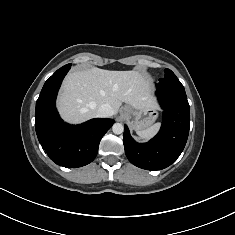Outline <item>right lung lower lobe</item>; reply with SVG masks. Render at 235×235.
I'll return each instance as SVG.
<instances>
[{
  "mask_svg": "<svg viewBox=\"0 0 235 235\" xmlns=\"http://www.w3.org/2000/svg\"><path fill=\"white\" fill-rule=\"evenodd\" d=\"M70 67H61L45 82L36 102L35 129L42 148L52 161L63 167L76 168L94 160L101 138L114 121L95 118L80 125L62 121L55 101Z\"/></svg>",
  "mask_w": 235,
  "mask_h": 235,
  "instance_id": "1",
  "label": "right lung lower lobe"
}]
</instances>
